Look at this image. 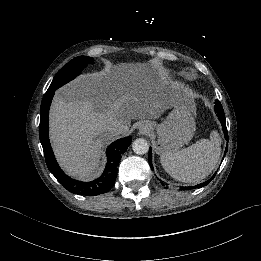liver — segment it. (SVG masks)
Listing matches in <instances>:
<instances>
[{"label":"liver","instance_id":"1","mask_svg":"<svg viewBox=\"0 0 261 261\" xmlns=\"http://www.w3.org/2000/svg\"><path fill=\"white\" fill-rule=\"evenodd\" d=\"M168 83L140 65H123L82 75L56 92L50 110L51 139L60 163L74 175L91 179L102 169L103 147L113 140L115 120H158L171 108Z\"/></svg>","mask_w":261,"mask_h":261}]
</instances>
